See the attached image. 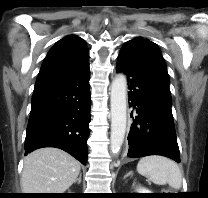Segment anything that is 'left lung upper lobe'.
<instances>
[{"instance_id": "1", "label": "left lung upper lobe", "mask_w": 208, "mask_h": 198, "mask_svg": "<svg viewBox=\"0 0 208 198\" xmlns=\"http://www.w3.org/2000/svg\"><path fill=\"white\" fill-rule=\"evenodd\" d=\"M136 39L143 40L144 46L148 51V53L150 54V56L152 57L153 61L155 62L156 68L159 70L164 82L169 85V75L167 73V68L159 48L156 46L155 43L149 40L143 38H136Z\"/></svg>"}]
</instances>
